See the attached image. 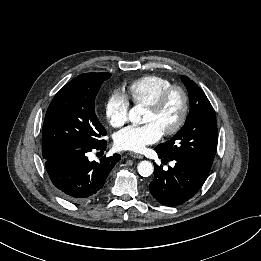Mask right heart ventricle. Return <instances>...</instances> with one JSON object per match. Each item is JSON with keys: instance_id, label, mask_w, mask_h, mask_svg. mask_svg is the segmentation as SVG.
I'll return each instance as SVG.
<instances>
[{"instance_id": "right-heart-ventricle-1", "label": "right heart ventricle", "mask_w": 261, "mask_h": 261, "mask_svg": "<svg viewBox=\"0 0 261 261\" xmlns=\"http://www.w3.org/2000/svg\"><path fill=\"white\" fill-rule=\"evenodd\" d=\"M172 83L163 77L148 75L131 82L127 96L135 105L150 106Z\"/></svg>"}]
</instances>
